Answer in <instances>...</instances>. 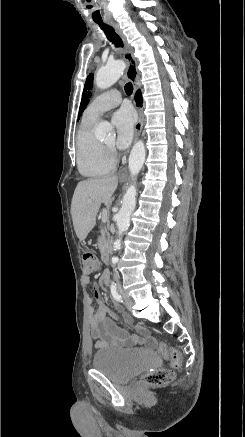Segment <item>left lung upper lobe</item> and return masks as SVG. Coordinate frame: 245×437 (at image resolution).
<instances>
[{"label":"left lung upper lobe","mask_w":245,"mask_h":437,"mask_svg":"<svg viewBox=\"0 0 245 437\" xmlns=\"http://www.w3.org/2000/svg\"><path fill=\"white\" fill-rule=\"evenodd\" d=\"M92 86H93V74L90 73L86 79V83L84 86L78 118H80L82 112L84 111L87 104L89 103V98L91 97L90 89L92 88Z\"/></svg>","instance_id":"5c2ea615"}]
</instances>
